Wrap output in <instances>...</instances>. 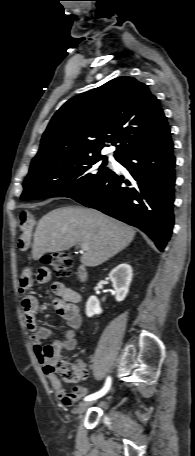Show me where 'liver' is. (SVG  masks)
Here are the masks:
<instances>
[{"label": "liver", "mask_w": 195, "mask_h": 456, "mask_svg": "<svg viewBox=\"0 0 195 456\" xmlns=\"http://www.w3.org/2000/svg\"><path fill=\"white\" fill-rule=\"evenodd\" d=\"M136 231L129 225L97 210L63 207L44 215L35 230L32 256L66 251L80 244L86 249L81 262L96 267L125 249Z\"/></svg>", "instance_id": "liver-1"}]
</instances>
